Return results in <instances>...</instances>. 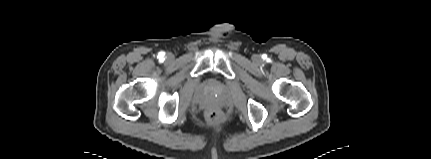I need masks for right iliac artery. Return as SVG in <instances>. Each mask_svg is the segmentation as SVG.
I'll return each instance as SVG.
<instances>
[{
	"mask_svg": "<svg viewBox=\"0 0 431 159\" xmlns=\"http://www.w3.org/2000/svg\"><path fill=\"white\" fill-rule=\"evenodd\" d=\"M163 56H164V53H160V57L163 58Z\"/></svg>",
	"mask_w": 431,
	"mask_h": 159,
	"instance_id": "82829eb1",
	"label": "right iliac artery"
}]
</instances>
